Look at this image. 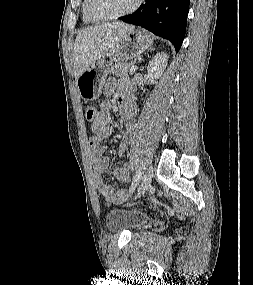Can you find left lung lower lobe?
I'll use <instances>...</instances> for the list:
<instances>
[{
  "mask_svg": "<svg viewBox=\"0 0 253 285\" xmlns=\"http://www.w3.org/2000/svg\"><path fill=\"white\" fill-rule=\"evenodd\" d=\"M189 3L190 0H146L135 14L119 19L168 39L178 52L185 36Z\"/></svg>",
  "mask_w": 253,
  "mask_h": 285,
  "instance_id": "obj_1",
  "label": "left lung lower lobe"
}]
</instances>
